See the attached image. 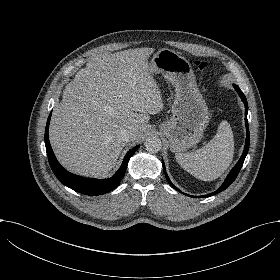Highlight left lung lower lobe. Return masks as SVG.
I'll list each match as a JSON object with an SVG mask.
<instances>
[{
	"instance_id": "0a47b994",
	"label": "left lung lower lobe",
	"mask_w": 280,
	"mask_h": 280,
	"mask_svg": "<svg viewBox=\"0 0 280 280\" xmlns=\"http://www.w3.org/2000/svg\"><path fill=\"white\" fill-rule=\"evenodd\" d=\"M234 88L235 90L237 91V93L239 94L240 98L242 99V101L244 102V105H245V125H246V142H245V147H244V151H243V154L241 156V158L239 159L238 163L234 166V168L230 171L229 175L227 176L226 180L224 181L223 185L215 192L213 193H210L208 195H204V196H190V195H187V196H190V197H194V198H204V197H208V196H212V195H215L223 190H225L228 186H230L232 184V182L235 180V178L237 177L242 165H243V162L245 160V157L248 153V150H249V141H250V137H249V127H248V121H247V112H248V103H247V100H246V97L245 95L243 94V92L240 90V88L237 86V85H234ZM163 170H164V173H165V176L168 180V182L170 183V185L176 189L177 191L181 192L178 188H176L172 183L171 181L169 180L168 176H167V173H166V170H165V166H164V162H163Z\"/></svg>"
}]
</instances>
